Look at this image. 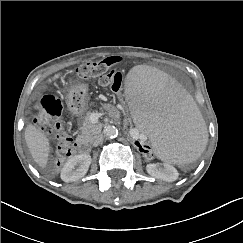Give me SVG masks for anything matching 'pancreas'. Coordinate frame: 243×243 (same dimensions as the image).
Returning <instances> with one entry per match:
<instances>
[{
  "mask_svg": "<svg viewBox=\"0 0 243 243\" xmlns=\"http://www.w3.org/2000/svg\"><path fill=\"white\" fill-rule=\"evenodd\" d=\"M101 131V127L91 122L90 112L85 116L83 125L81 127V134L78 136V140L83 142H92L93 138Z\"/></svg>",
  "mask_w": 243,
  "mask_h": 243,
  "instance_id": "cf45deb5",
  "label": "pancreas"
}]
</instances>
